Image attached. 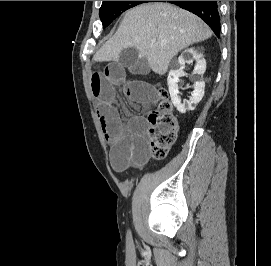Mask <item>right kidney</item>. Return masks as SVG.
I'll return each mask as SVG.
<instances>
[{
	"instance_id": "ca27d5eb",
	"label": "right kidney",
	"mask_w": 271,
	"mask_h": 266,
	"mask_svg": "<svg viewBox=\"0 0 271 266\" xmlns=\"http://www.w3.org/2000/svg\"><path fill=\"white\" fill-rule=\"evenodd\" d=\"M193 60H196V65L192 73L194 91L191 93L189 100L181 102V98L178 96L179 78L185 75L183 71L185 63H193ZM177 65L179 68H172L170 70L167 83L173 105L180 113H186L187 110H194L204 96L205 82L203 81L202 75L206 70V61L202 54H199L194 48H189L179 56Z\"/></svg>"
}]
</instances>
